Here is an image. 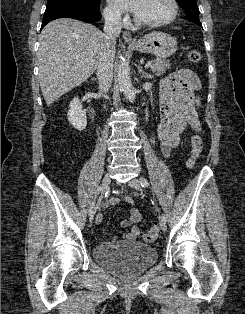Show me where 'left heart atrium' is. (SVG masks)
<instances>
[{
    "mask_svg": "<svg viewBox=\"0 0 245 314\" xmlns=\"http://www.w3.org/2000/svg\"><path fill=\"white\" fill-rule=\"evenodd\" d=\"M143 1L144 0H109L114 7L135 14L140 10Z\"/></svg>",
    "mask_w": 245,
    "mask_h": 314,
    "instance_id": "obj_1",
    "label": "left heart atrium"
}]
</instances>
